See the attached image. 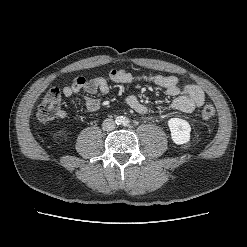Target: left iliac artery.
<instances>
[{
  "instance_id": "obj_1",
  "label": "left iliac artery",
  "mask_w": 247,
  "mask_h": 247,
  "mask_svg": "<svg viewBox=\"0 0 247 247\" xmlns=\"http://www.w3.org/2000/svg\"><path fill=\"white\" fill-rule=\"evenodd\" d=\"M129 123H130V121H129L127 118H124V120H123V125H124V126H128Z\"/></svg>"
}]
</instances>
